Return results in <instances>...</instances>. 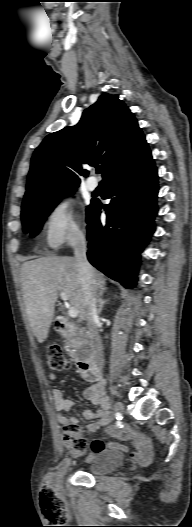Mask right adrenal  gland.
I'll list each match as a JSON object with an SVG mask.
<instances>
[{
    "label": "right adrenal gland",
    "mask_w": 192,
    "mask_h": 527,
    "mask_svg": "<svg viewBox=\"0 0 192 527\" xmlns=\"http://www.w3.org/2000/svg\"><path fill=\"white\" fill-rule=\"evenodd\" d=\"M103 293L104 292H100L99 295H98V304H99V309H98V312L101 313L102 312V309H103V306L109 302V299L107 300H104L103 299Z\"/></svg>",
    "instance_id": "right-adrenal-gland-1"
}]
</instances>
